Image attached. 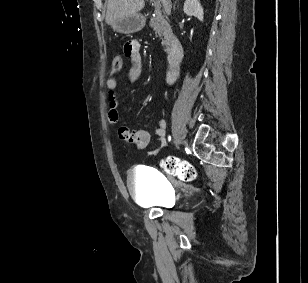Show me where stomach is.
I'll return each mask as SVG.
<instances>
[{"mask_svg":"<svg viewBox=\"0 0 308 283\" xmlns=\"http://www.w3.org/2000/svg\"><path fill=\"white\" fill-rule=\"evenodd\" d=\"M145 26V18L141 14H134L119 18L111 27L122 34H130L140 31Z\"/></svg>","mask_w":308,"mask_h":283,"instance_id":"0dacf381","label":"stomach"}]
</instances>
